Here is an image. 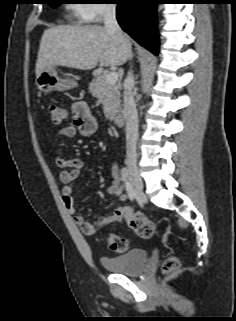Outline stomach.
I'll return each instance as SVG.
<instances>
[{
  "label": "stomach",
  "instance_id": "1",
  "mask_svg": "<svg viewBox=\"0 0 236 321\" xmlns=\"http://www.w3.org/2000/svg\"><path fill=\"white\" fill-rule=\"evenodd\" d=\"M35 84L44 93L51 91H66L77 86L70 78H61L55 67L42 71L36 76Z\"/></svg>",
  "mask_w": 236,
  "mask_h": 321
}]
</instances>
